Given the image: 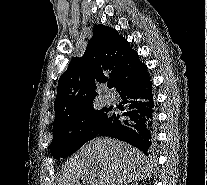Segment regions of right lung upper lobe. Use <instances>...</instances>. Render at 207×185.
I'll use <instances>...</instances> for the list:
<instances>
[{
  "label": "right lung upper lobe",
  "instance_id": "cb5924a9",
  "mask_svg": "<svg viewBox=\"0 0 207 185\" xmlns=\"http://www.w3.org/2000/svg\"><path fill=\"white\" fill-rule=\"evenodd\" d=\"M147 71L129 42L116 30L98 24L83 57H75L58 82L53 128L72 118L95 110L93 101L101 83H121Z\"/></svg>",
  "mask_w": 207,
  "mask_h": 185
}]
</instances>
